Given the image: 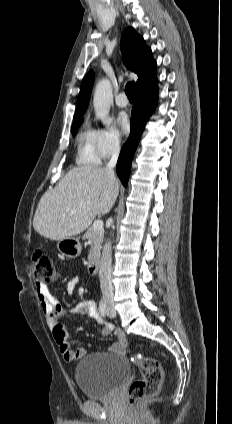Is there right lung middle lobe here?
Wrapping results in <instances>:
<instances>
[{
	"label": "right lung middle lobe",
	"instance_id": "dd1d6c3e",
	"mask_svg": "<svg viewBox=\"0 0 232 424\" xmlns=\"http://www.w3.org/2000/svg\"><path fill=\"white\" fill-rule=\"evenodd\" d=\"M73 121L74 123L72 125L71 132H72V135L75 136V131L77 127H79L82 124L83 119H73Z\"/></svg>",
	"mask_w": 232,
	"mask_h": 424
}]
</instances>
